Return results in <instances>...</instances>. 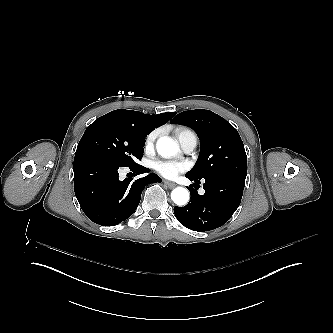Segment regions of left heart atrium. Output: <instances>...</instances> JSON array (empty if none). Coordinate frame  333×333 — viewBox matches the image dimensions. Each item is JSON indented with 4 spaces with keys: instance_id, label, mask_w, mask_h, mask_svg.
Wrapping results in <instances>:
<instances>
[{
    "instance_id": "1",
    "label": "left heart atrium",
    "mask_w": 333,
    "mask_h": 333,
    "mask_svg": "<svg viewBox=\"0 0 333 333\" xmlns=\"http://www.w3.org/2000/svg\"><path fill=\"white\" fill-rule=\"evenodd\" d=\"M187 168L188 165L186 163L176 161H160L155 166L156 171L160 175L170 179L184 173Z\"/></svg>"
}]
</instances>
